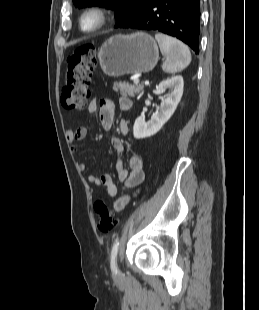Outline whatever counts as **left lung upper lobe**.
Segmentation results:
<instances>
[{"instance_id":"1","label":"left lung upper lobe","mask_w":259,"mask_h":310,"mask_svg":"<svg viewBox=\"0 0 259 310\" xmlns=\"http://www.w3.org/2000/svg\"><path fill=\"white\" fill-rule=\"evenodd\" d=\"M152 0H73L76 7L102 6L115 10L116 26L146 7Z\"/></svg>"}]
</instances>
